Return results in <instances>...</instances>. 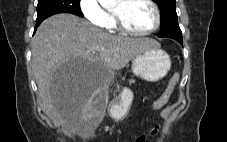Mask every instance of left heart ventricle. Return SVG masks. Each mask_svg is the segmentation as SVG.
<instances>
[{"label": "left heart ventricle", "instance_id": "b2bd125f", "mask_svg": "<svg viewBox=\"0 0 227 142\" xmlns=\"http://www.w3.org/2000/svg\"><path fill=\"white\" fill-rule=\"evenodd\" d=\"M113 11L119 12L127 26L136 31H146L155 22V14L146 0H118Z\"/></svg>", "mask_w": 227, "mask_h": 142}]
</instances>
